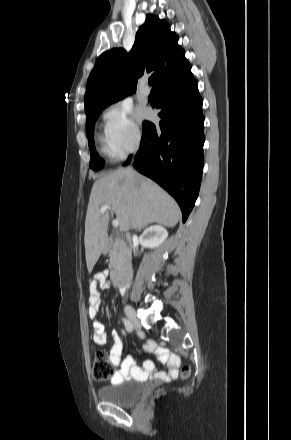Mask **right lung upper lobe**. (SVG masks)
Wrapping results in <instances>:
<instances>
[{
  "mask_svg": "<svg viewBox=\"0 0 291 440\" xmlns=\"http://www.w3.org/2000/svg\"><path fill=\"white\" fill-rule=\"evenodd\" d=\"M189 65L168 23L148 14L129 54L122 48H113L99 56L87 81L86 113L135 92L137 80L143 74H151L155 89Z\"/></svg>",
  "mask_w": 291,
  "mask_h": 440,
  "instance_id": "1",
  "label": "right lung upper lobe"
}]
</instances>
